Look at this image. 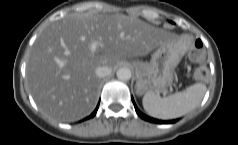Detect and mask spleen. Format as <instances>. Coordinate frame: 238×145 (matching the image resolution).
<instances>
[{
    "mask_svg": "<svg viewBox=\"0 0 238 145\" xmlns=\"http://www.w3.org/2000/svg\"><path fill=\"white\" fill-rule=\"evenodd\" d=\"M206 90L205 84L196 83L168 97H160L156 93L148 92L142 100L143 108L154 118H177L195 109L201 103Z\"/></svg>",
    "mask_w": 238,
    "mask_h": 145,
    "instance_id": "obj_1",
    "label": "spleen"
}]
</instances>
